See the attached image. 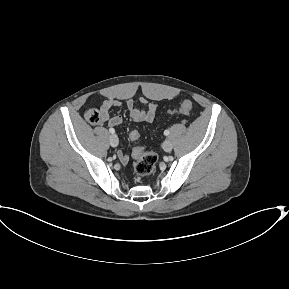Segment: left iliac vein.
I'll use <instances>...</instances> for the list:
<instances>
[{
    "label": "left iliac vein",
    "mask_w": 289,
    "mask_h": 289,
    "mask_svg": "<svg viewBox=\"0 0 289 289\" xmlns=\"http://www.w3.org/2000/svg\"><path fill=\"white\" fill-rule=\"evenodd\" d=\"M173 148V145L171 143L170 140H165L164 143H163V149L166 151V152H170Z\"/></svg>",
    "instance_id": "obj_1"
}]
</instances>
